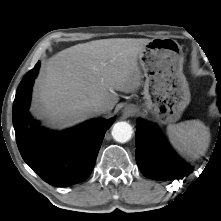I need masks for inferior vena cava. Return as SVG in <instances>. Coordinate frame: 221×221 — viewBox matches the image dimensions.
<instances>
[{
  "label": "inferior vena cava",
  "mask_w": 221,
  "mask_h": 221,
  "mask_svg": "<svg viewBox=\"0 0 221 221\" xmlns=\"http://www.w3.org/2000/svg\"><path fill=\"white\" fill-rule=\"evenodd\" d=\"M85 110L90 117H93V116H97V115L107 112L108 106L102 103H94V104L87 106Z\"/></svg>",
  "instance_id": "1"
}]
</instances>
